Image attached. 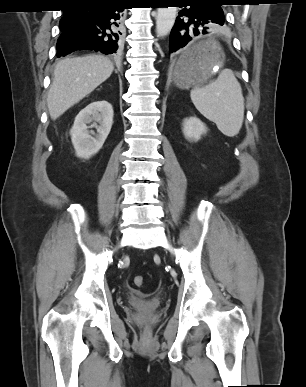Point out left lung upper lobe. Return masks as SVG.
Here are the masks:
<instances>
[{"label":"left lung upper lobe","instance_id":"obj_1","mask_svg":"<svg viewBox=\"0 0 306 387\" xmlns=\"http://www.w3.org/2000/svg\"><path fill=\"white\" fill-rule=\"evenodd\" d=\"M213 1H218V2H222V0H213Z\"/></svg>","mask_w":306,"mask_h":387}]
</instances>
